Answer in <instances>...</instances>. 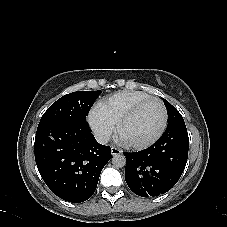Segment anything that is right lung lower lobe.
<instances>
[{
    "mask_svg": "<svg viewBox=\"0 0 227 227\" xmlns=\"http://www.w3.org/2000/svg\"><path fill=\"white\" fill-rule=\"evenodd\" d=\"M38 170L50 190L65 201L89 199L111 148L99 144L87 122H40L34 145Z\"/></svg>",
    "mask_w": 227,
    "mask_h": 227,
    "instance_id": "obj_1",
    "label": "right lung lower lobe"
}]
</instances>
